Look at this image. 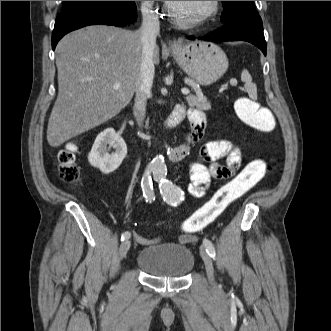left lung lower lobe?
Listing matches in <instances>:
<instances>
[{"mask_svg":"<svg viewBox=\"0 0 331 331\" xmlns=\"http://www.w3.org/2000/svg\"><path fill=\"white\" fill-rule=\"evenodd\" d=\"M189 39H196L189 36ZM207 41H247L257 46L266 55L263 24L259 16L233 20L203 38Z\"/></svg>","mask_w":331,"mask_h":331,"instance_id":"0a47b994","label":"left lung lower lobe"}]
</instances>
